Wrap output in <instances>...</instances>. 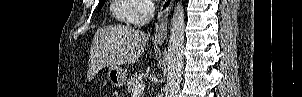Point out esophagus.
I'll use <instances>...</instances> for the list:
<instances>
[{
  "label": "esophagus",
  "mask_w": 302,
  "mask_h": 97,
  "mask_svg": "<svg viewBox=\"0 0 302 97\" xmlns=\"http://www.w3.org/2000/svg\"><path fill=\"white\" fill-rule=\"evenodd\" d=\"M172 4L173 0H164L160 6L157 16V33L155 35V41L158 43L164 42L167 36V25Z\"/></svg>",
  "instance_id": "esophagus-1"
}]
</instances>
